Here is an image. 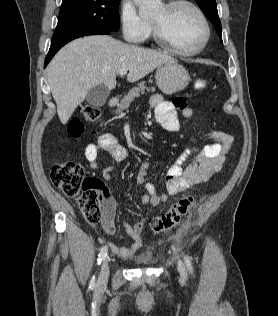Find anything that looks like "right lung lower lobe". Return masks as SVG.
Instances as JSON below:
<instances>
[{"instance_id": "obj_1", "label": "right lung lower lobe", "mask_w": 278, "mask_h": 316, "mask_svg": "<svg viewBox=\"0 0 278 316\" xmlns=\"http://www.w3.org/2000/svg\"><path fill=\"white\" fill-rule=\"evenodd\" d=\"M110 31H92V32H86V33H81L79 35H75L71 38L65 39L59 43L56 44H51L48 55L45 59V65L44 67H46V65L49 63V61L52 59V57L55 55V53L62 47L64 46L66 43L70 42L71 40H74L78 37H82V36H88V35H104V34H108Z\"/></svg>"}]
</instances>
